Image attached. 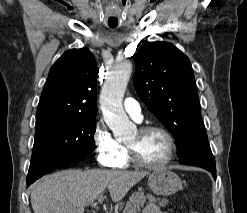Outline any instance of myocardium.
<instances>
[{"label":"myocardium","instance_id":"f54148a6","mask_svg":"<svg viewBox=\"0 0 247 213\" xmlns=\"http://www.w3.org/2000/svg\"><path fill=\"white\" fill-rule=\"evenodd\" d=\"M151 131H158L164 135V137L167 140V145H168V150H167V155L159 163H148L144 160H142L136 153L135 149L129 145L126 144V149H127V154H128V159L130 162L133 164L146 168V169H161L166 167L174 158L175 151H176V143L173 135L169 130H167L165 127L157 124H149V125H143L138 128V132L140 134H145L147 132Z\"/></svg>","mask_w":247,"mask_h":213}]
</instances>
